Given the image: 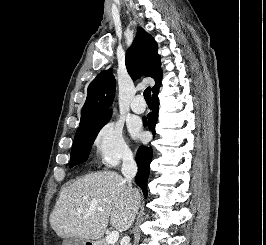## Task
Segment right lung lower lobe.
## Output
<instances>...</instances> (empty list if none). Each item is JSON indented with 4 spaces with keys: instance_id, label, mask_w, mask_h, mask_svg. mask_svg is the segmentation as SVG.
Here are the masks:
<instances>
[{
    "instance_id": "obj_1",
    "label": "right lung lower lobe",
    "mask_w": 266,
    "mask_h": 245,
    "mask_svg": "<svg viewBox=\"0 0 266 245\" xmlns=\"http://www.w3.org/2000/svg\"><path fill=\"white\" fill-rule=\"evenodd\" d=\"M158 92L159 89L152 95V112L148 114L147 120L144 119V125H148V128L152 131L153 135L155 134V125L158 118ZM152 158V149L151 147L140 146L137 155L136 162L138 165V173L135 178L136 184L142 189L144 196L147 197V180L149 177V165Z\"/></svg>"
}]
</instances>
